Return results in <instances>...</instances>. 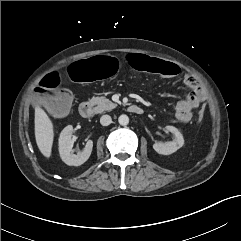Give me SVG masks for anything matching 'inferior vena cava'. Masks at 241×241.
I'll use <instances>...</instances> for the list:
<instances>
[{"label":"inferior vena cava","instance_id":"obj_1","mask_svg":"<svg viewBox=\"0 0 241 241\" xmlns=\"http://www.w3.org/2000/svg\"><path fill=\"white\" fill-rule=\"evenodd\" d=\"M112 122V119L109 115H103L101 118H100V123L101 125L103 126H108L110 125Z\"/></svg>","mask_w":241,"mask_h":241}]
</instances>
